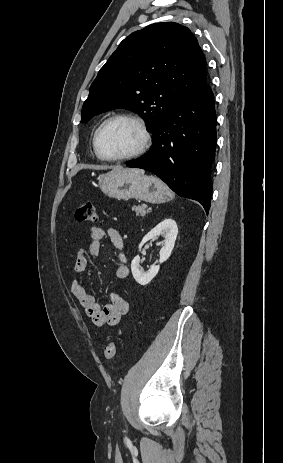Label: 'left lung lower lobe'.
<instances>
[{
    "mask_svg": "<svg viewBox=\"0 0 283 463\" xmlns=\"http://www.w3.org/2000/svg\"><path fill=\"white\" fill-rule=\"evenodd\" d=\"M153 134L151 151L127 166L154 173L179 196L200 202L208 213L216 113L207 81L176 104Z\"/></svg>",
    "mask_w": 283,
    "mask_h": 463,
    "instance_id": "1",
    "label": "left lung lower lobe"
}]
</instances>
